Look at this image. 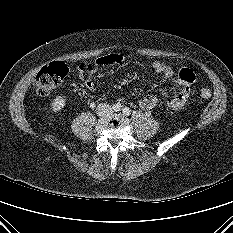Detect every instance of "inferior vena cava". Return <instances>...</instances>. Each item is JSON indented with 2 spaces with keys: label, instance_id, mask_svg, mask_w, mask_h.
I'll list each match as a JSON object with an SVG mask.
<instances>
[{
  "label": "inferior vena cava",
  "instance_id": "obj_1",
  "mask_svg": "<svg viewBox=\"0 0 233 233\" xmlns=\"http://www.w3.org/2000/svg\"><path fill=\"white\" fill-rule=\"evenodd\" d=\"M96 113L100 117L108 116L112 113L111 106L107 103L99 104L96 108Z\"/></svg>",
  "mask_w": 233,
  "mask_h": 233
}]
</instances>
